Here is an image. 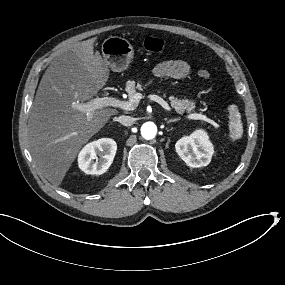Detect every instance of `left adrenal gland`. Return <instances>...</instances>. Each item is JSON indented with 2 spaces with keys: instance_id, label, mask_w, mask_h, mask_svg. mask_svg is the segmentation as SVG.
<instances>
[{
  "instance_id": "a2214340",
  "label": "left adrenal gland",
  "mask_w": 285,
  "mask_h": 285,
  "mask_svg": "<svg viewBox=\"0 0 285 285\" xmlns=\"http://www.w3.org/2000/svg\"><path fill=\"white\" fill-rule=\"evenodd\" d=\"M178 121H180V118H178V119H173V120H166V124H170V123H175V122H178Z\"/></svg>"
}]
</instances>
